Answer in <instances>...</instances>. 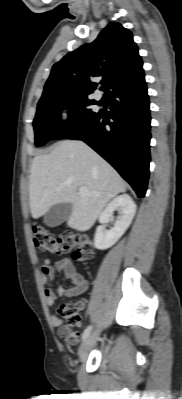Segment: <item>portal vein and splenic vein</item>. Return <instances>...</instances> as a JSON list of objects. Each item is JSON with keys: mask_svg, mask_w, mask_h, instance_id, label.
<instances>
[{"mask_svg": "<svg viewBox=\"0 0 182 399\" xmlns=\"http://www.w3.org/2000/svg\"><path fill=\"white\" fill-rule=\"evenodd\" d=\"M79 194L80 195H87L89 193H88V190L86 189V187H80L79 188Z\"/></svg>", "mask_w": 182, "mask_h": 399, "instance_id": "portal-vein-and-splenic-vein-1", "label": "portal vein and splenic vein"}]
</instances>
